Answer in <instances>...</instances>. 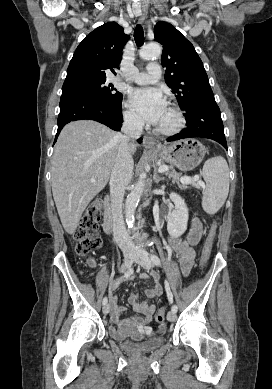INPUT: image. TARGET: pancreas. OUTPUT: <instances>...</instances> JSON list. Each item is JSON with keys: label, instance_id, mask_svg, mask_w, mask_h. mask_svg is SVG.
Masks as SVG:
<instances>
[{"label": "pancreas", "instance_id": "1", "mask_svg": "<svg viewBox=\"0 0 272 389\" xmlns=\"http://www.w3.org/2000/svg\"><path fill=\"white\" fill-rule=\"evenodd\" d=\"M168 168H169V170L167 171L166 175H168V177L172 179L173 183H177L180 189H182V190L187 189V186L189 184L197 186V184L195 183L193 178H191V180H192L191 183H182L181 180H180L181 179L180 178V176H181L180 173L176 172L173 169V167H171V166H169Z\"/></svg>", "mask_w": 272, "mask_h": 389}]
</instances>
